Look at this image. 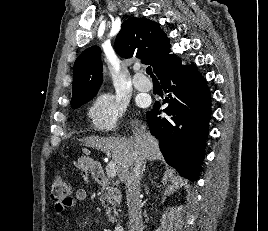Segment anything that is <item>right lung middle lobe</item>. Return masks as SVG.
<instances>
[{
  "label": "right lung middle lobe",
  "mask_w": 268,
  "mask_h": 231,
  "mask_svg": "<svg viewBox=\"0 0 268 231\" xmlns=\"http://www.w3.org/2000/svg\"><path fill=\"white\" fill-rule=\"evenodd\" d=\"M89 100L91 99H87V100H84V101H80V102H77L75 104H72V108H78L80 107L81 105L85 104L86 102H88Z\"/></svg>",
  "instance_id": "right-lung-middle-lobe-1"
}]
</instances>
